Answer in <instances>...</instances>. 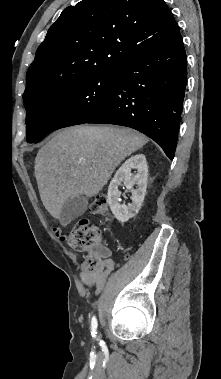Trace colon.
Masks as SVG:
<instances>
[{"label":"colon","mask_w":221,"mask_h":379,"mask_svg":"<svg viewBox=\"0 0 221 379\" xmlns=\"http://www.w3.org/2000/svg\"><path fill=\"white\" fill-rule=\"evenodd\" d=\"M90 212L98 216L108 215L109 206L107 198L104 195L97 196L90 205ZM55 233L63 240H66L71 248L77 251L89 252L83 264L86 271H95L100 266L98 255L101 250L103 232L99 226L87 219H81L67 236L61 235L58 229L55 230Z\"/></svg>","instance_id":"1"}]
</instances>
